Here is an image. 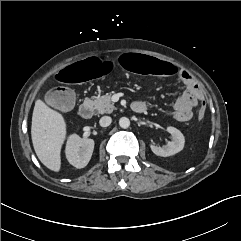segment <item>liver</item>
<instances>
[{"label": "liver", "mask_w": 241, "mask_h": 241, "mask_svg": "<svg viewBox=\"0 0 241 241\" xmlns=\"http://www.w3.org/2000/svg\"><path fill=\"white\" fill-rule=\"evenodd\" d=\"M31 137L38 159L48 169L59 172L61 147L66 138V122L59 112L49 108L42 100L35 102Z\"/></svg>", "instance_id": "obj_1"}]
</instances>
